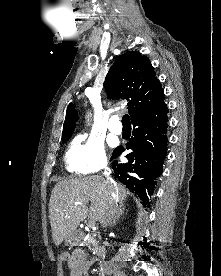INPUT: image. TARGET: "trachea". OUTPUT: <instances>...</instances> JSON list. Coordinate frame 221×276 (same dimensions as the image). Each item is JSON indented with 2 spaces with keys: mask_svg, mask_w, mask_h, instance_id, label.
Returning a JSON list of instances; mask_svg holds the SVG:
<instances>
[{
  "mask_svg": "<svg viewBox=\"0 0 221 276\" xmlns=\"http://www.w3.org/2000/svg\"><path fill=\"white\" fill-rule=\"evenodd\" d=\"M122 123H123V125H130V118H129L128 114L123 115Z\"/></svg>",
  "mask_w": 221,
  "mask_h": 276,
  "instance_id": "trachea-1",
  "label": "trachea"
}]
</instances>
